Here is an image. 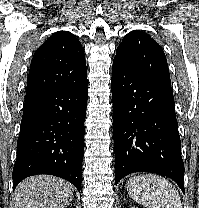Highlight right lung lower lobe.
Returning <instances> with one entry per match:
<instances>
[{"instance_id": "98d812e1", "label": "right lung lower lobe", "mask_w": 199, "mask_h": 208, "mask_svg": "<svg viewBox=\"0 0 199 208\" xmlns=\"http://www.w3.org/2000/svg\"><path fill=\"white\" fill-rule=\"evenodd\" d=\"M87 77L78 83L26 95L13 168V190L24 178L49 174L81 189Z\"/></svg>"}]
</instances>
